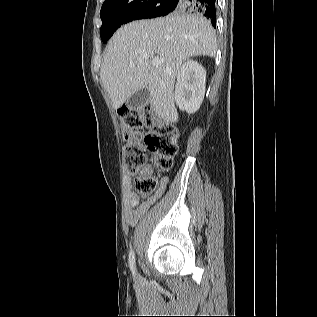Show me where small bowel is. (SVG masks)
Returning <instances> with one entry per match:
<instances>
[{"mask_svg":"<svg viewBox=\"0 0 317 317\" xmlns=\"http://www.w3.org/2000/svg\"><path fill=\"white\" fill-rule=\"evenodd\" d=\"M143 175L150 176L151 170L146 168ZM167 184V179L163 178L161 180L160 190L157 193V196H160L165 189ZM155 198H148L144 202L140 201V197L132 191L127 192V203H126V212H125V219L128 225L134 226L147 212V210L151 207L154 203Z\"/></svg>","mask_w":317,"mask_h":317,"instance_id":"obj_1","label":"small bowel"}]
</instances>
